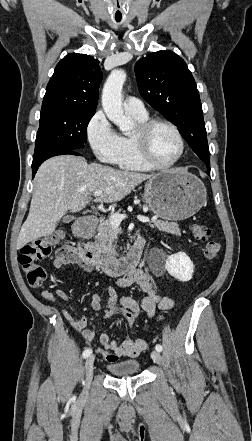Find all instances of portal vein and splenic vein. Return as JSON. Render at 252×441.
I'll return each instance as SVG.
<instances>
[{
  "label": "portal vein and splenic vein",
  "mask_w": 252,
  "mask_h": 441,
  "mask_svg": "<svg viewBox=\"0 0 252 441\" xmlns=\"http://www.w3.org/2000/svg\"><path fill=\"white\" fill-rule=\"evenodd\" d=\"M102 193H103V191H101V190L95 191L94 196H101ZM125 218H127V216L125 214L114 213L110 216L109 219H110V223L112 224V226H119L120 223L122 222V220H124ZM137 219L143 223L150 222V219L145 216H137Z\"/></svg>",
  "instance_id": "portal-vein-and-splenic-vein-1"
}]
</instances>
